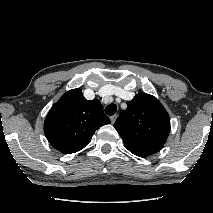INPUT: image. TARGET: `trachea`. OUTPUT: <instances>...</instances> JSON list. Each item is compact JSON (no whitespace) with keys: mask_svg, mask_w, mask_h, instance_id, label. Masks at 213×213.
Here are the masks:
<instances>
[{"mask_svg":"<svg viewBox=\"0 0 213 213\" xmlns=\"http://www.w3.org/2000/svg\"><path fill=\"white\" fill-rule=\"evenodd\" d=\"M117 106L115 104H110L105 108V113L109 116H112L116 113Z\"/></svg>","mask_w":213,"mask_h":213,"instance_id":"1","label":"trachea"}]
</instances>
